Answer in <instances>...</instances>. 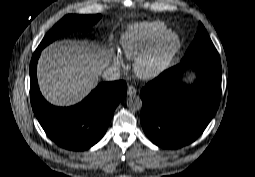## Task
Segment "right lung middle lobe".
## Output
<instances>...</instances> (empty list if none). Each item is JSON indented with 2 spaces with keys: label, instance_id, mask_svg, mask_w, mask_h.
I'll return each mask as SVG.
<instances>
[{
  "label": "right lung middle lobe",
  "instance_id": "obj_1",
  "mask_svg": "<svg viewBox=\"0 0 255 177\" xmlns=\"http://www.w3.org/2000/svg\"><path fill=\"white\" fill-rule=\"evenodd\" d=\"M101 18L97 15H66L63 17L44 37L39 49H43L49 43L53 42L59 36L73 29H85L94 25Z\"/></svg>",
  "mask_w": 255,
  "mask_h": 177
}]
</instances>
